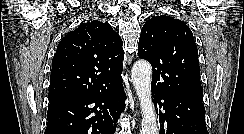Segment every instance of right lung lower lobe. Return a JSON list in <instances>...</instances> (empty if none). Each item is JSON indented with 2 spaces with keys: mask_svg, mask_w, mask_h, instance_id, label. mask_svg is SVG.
Masks as SVG:
<instances>
[{
  "mask_svg": "<svg viewBox=\"0 0 244 134\" xmlns=\"http://www.w3.org/2000/svg\"><path fill=\"white\" fill-rule=\"evenodd\" d=\"M125 99L119 77L102 90L52 101L44 134H114Z\"/></svg>",
  "mask_w": 244,
  "mask_h": 134,
  "instance_id": "1",
  "label": "right lung lower lobe"
}]
</instances>
